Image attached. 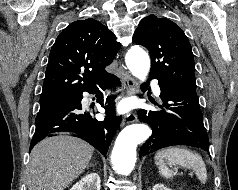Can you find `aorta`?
<instances>
[{"label": "aorta", "instance_id": "762f6f07", "mask_svg": "<svg viewBox=\"0 0 238 190\" xmlns=\"http://www.w3.org/2000/svg\"><path fill=\"white\" fill-rule=\"evenodd\" d=\"M131 73L144 81L150 70L148 54L139 46L132 47L125 57ZM151 135L150 129L141 123L125 127L118 135L111 154L113 168L119 174L131 173L136 162V148Z\"/></svg>", "mask_w": 238, "mask_h": 190}]
</instances>
